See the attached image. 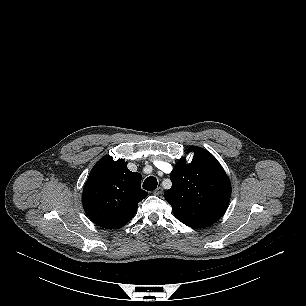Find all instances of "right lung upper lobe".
Segmentation results:
<instances>
[{
	"label": "right lung upper lobe",
	"instance_id": "cb5924a9",
	"mask_svg": "<svg viewBox=\"0 0 306 306\" xmlns=\"http://www.w3.org/2000/svg\"><path fill=\"white\" fill-rule=\"evenodd\" d=\"M141 174L131 172L124 160L102 158L92 168L83 189L82 203L96 225L119 229L135 215L138 202L148 196L141 189Z\"/></svg>",
	"mask_w": 306,
	"mask_h": 306
}]
</instances>
